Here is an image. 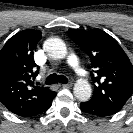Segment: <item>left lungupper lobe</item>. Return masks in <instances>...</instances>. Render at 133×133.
<instances>
[{"label": "left lung upper lobe", "mask_w": 133, "mask_h": 133, "mask_svg": "<svg viewBox=\"0 0 133 133\" xmlns=\"http://www.w3.org/2000/svg\"><path fill=\"white\" fill-rule=\"evenodd\" d=\"M72 40L90 57L94 94L89 100L120 110L133 92V66L117 41L100 29H70Z\"/></svg>", "instance_id": "obj_1"}]
</instances>
